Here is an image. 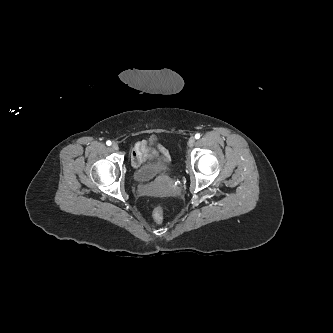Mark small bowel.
Returning a JSON list of instances; mask_svg holds the SVG:
<instances>
[{"label":"small bowel","instance_id":"1","mask_svg":"<svg viewBox=\"0 0 333 333\" xmlns=\"http://www.w3.org/2000/svg\"><path fill=\"white\" fill-rule=\"evenodd\" d=\"M154 158H161L164 161L168 159L167 152L160 146H149L147 141L137 142L131 153L130 159L134 167H138Z\"/></svg>","mask_w":333,"mask_h":333}]
</instances>
